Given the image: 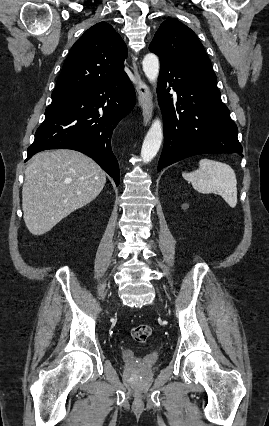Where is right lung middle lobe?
<instances>
[{"instance_id": "right-lung-middle-lobe-1", "label": "right lung middle lobe", "mask_w": 269, "mask_h": 426, "mask_svg": "<svg viewBox=\"0 0 269 426\" xmlns=\"http://www.w3.org/2000/svg\"><path fill=\"white\" fill-rule=\"evenodd\" d=\"M72 92H53L52 93V103L55 104L61 100L66 99L68 96L71 95Z\"/></svg>"}]
</instances>
